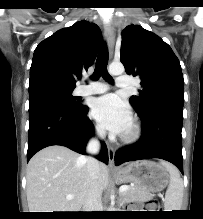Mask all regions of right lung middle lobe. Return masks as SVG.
<instances>
[{"mask_svg": "<svg viewBox=\"0 0 203 219\" xmlns=\"http://www.w3.org/2000/svg\"><path fill=\"white\" fill-rule=\"evenodd\" d=\"M75 87L64 85L53 80H38L29 83V101L35 98L58 100L71 108L81 107L72 96Z\"/></svg>", "mask_w": 203, "mask_h": 219, "instance_id": "obj_1", "label": "right lung middle lobe"}]
</instances>
